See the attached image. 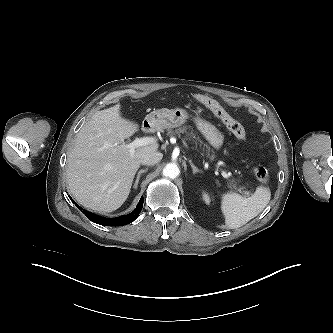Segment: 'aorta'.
<instances>
[{"label": "aorta", "mask_w": 333, "mask_h": 333, "mask_svg": "<svg viewBox=\"0 0 333 333\" xmlns=\"http://www.w3.org/2000/svg\"><path fill=\"white\" fill-rule=\"evenodd\" d=\"M180 173L179 167L175 163H168L163 168V175L171 179L176 178Z\"/></svg>", "instance_id": "762f6f07"}]
</instances>
